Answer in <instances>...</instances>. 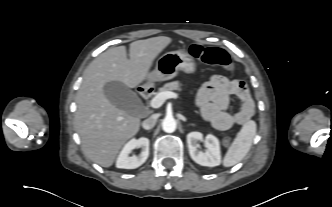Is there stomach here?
<instances>
[{
  "mask_svg": "<svg viewBox=\"0 0 332 207\" xmlns=\"http://www.w3.org/2000/svg\"><path fill=\"white\" fill-rule=\"evenodd\" d=\"M178 71L194 74L196 71L194 58L184 50L167 52L156 61L155 69L150 73L145 86H152L153 82L172 79Z\"/></svg>",
  "mask_w": 332,
  "mask_h": 207,
  "instance_id": "obj_1",
  "label": "stomach"
}]
</instances>
